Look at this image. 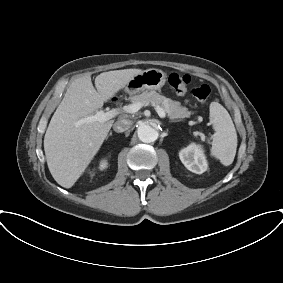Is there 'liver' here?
<instances>
[{
  "mask_svg": "<svg viewBox=\"0 0 283 283\" xmlns=\"http://www.w3.org/2000/svg\"><path fill=\"white\" fill-rule=\"evenodd\" d=\"M141 69L103 72L75 79L54 115L44 137L47 165L54 180L71 188L99 151L114 120L82 123L81 120L102 108L104 102L123 89Z\"/></svg>",
  "mask_w": 283,
  "mask_h": 283,
  "instance_id": "1",
  "label": "liver"
}]
</instances>
